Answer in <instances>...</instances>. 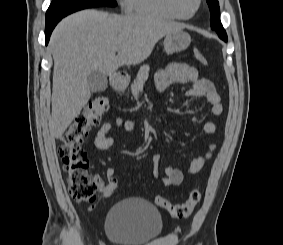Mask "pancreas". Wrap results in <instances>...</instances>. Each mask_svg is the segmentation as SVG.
Listing matches in <instances>:
<instances>
[{"instance_id":"obj_1","label":"pancreas","mask_w":283,"mask_h":245,"mask_svg":"<svg viewBox=\"0 0 283 245\" xmlns=\"http://www.w3.org/2000/svg\"><path fill=\"white\" fill-rule=\"evenodd\" d=\"M150 67L148 65H143L140 67L137 78L131 85V91L135 98H138L139 93L143 90L145 81L148 79Z\"/></svg>"}]
</instances>
